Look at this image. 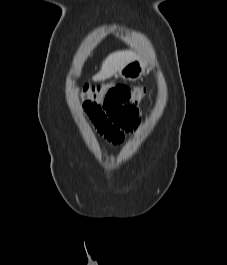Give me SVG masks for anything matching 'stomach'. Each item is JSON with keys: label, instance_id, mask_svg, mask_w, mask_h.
<instances>
[{"label": "stomach", "instance_id": "1", "mask_svg": "<svg viewBox=\"0 0 227 265\" xmlns=\"http://www.w3.org/2000/svg\"><path fill=\"white\" fill-rule=\"evenodd\" d=\"M149 68L146 61L142 59H135L117 72V76L125 80H134L141 77Z\"/></svg>", "mask_w": 227, "mask_h": 265}]
</instances>
